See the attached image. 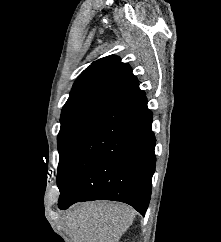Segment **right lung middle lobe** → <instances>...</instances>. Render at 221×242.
Returning a JSON list of instances; mask_svg holds the SVG:
<instances>
[{
	"instance_id": "dd1d6c3e",
	"label": "right lung middle lobe",
	"mask_w": 221,
	"mask_h": 242,
	"mask_svg": "<svg viewBox=\"0 0 221 242\" xmlns=\"http://www.w3.org/2000/svg\"><path fill=\"white\" fill-rule=\"evenodd\" d=\"M100 125L96 122H84L60 128L58 134L59 165L57 182L65 170L70 158L85 139Z\"/></svg>"
}]
</instances>
